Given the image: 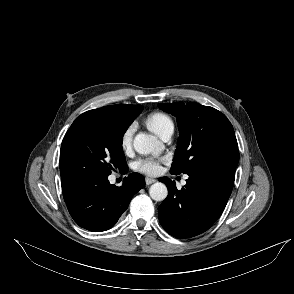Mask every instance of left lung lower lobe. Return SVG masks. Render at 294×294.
Listing matches in <instances>:
<instances>
[{
    "mask_svg": "<svg viewBox=\"0 0 294 294\" xmlns=\"http://www.w3.org/2000/svg\"><path fill=\"white\" fill-rule=\"evenodd\" d=\"M239 151L222 154L186 180L178 190L164 177L168 197L158 207L159 221L172 236L190 238L208 230L220 217L233 189Z\"/></svg>",
    "mask_w": 294,
    "mask_h": 294,
    "instance_id": "obj_1",
    "label": "left lung lower lobe"
}]
</instances>
